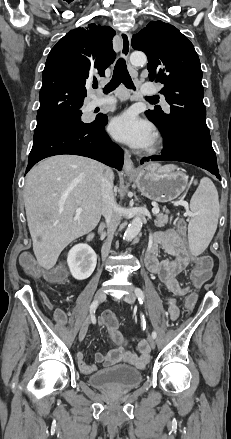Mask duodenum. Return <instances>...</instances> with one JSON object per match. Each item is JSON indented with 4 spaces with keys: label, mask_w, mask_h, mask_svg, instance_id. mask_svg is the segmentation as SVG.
I'll return each instance as SVG.
<instances>
[{
    "label": "duodenum",
    "mask_w": 231,
    "mask_h": 439,
    "mask_svg": "<svg viewBox=\"0 0 231 439\" xmlns=\"http://www.w3.org/2000/svg\"><path fill=\"white\" fill-rule=\"evenodd\" d=\"M93 238H94V235L92 233H89L86 237V240H87V242H92Z\"/></svg>",
    "instance_id": "obj_1"
}]
</instances>
